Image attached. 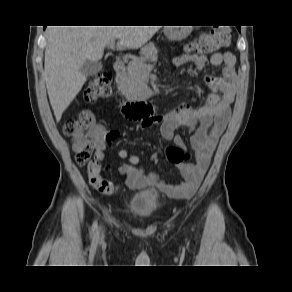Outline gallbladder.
I'll return each mask as SVG.
<instances>
[{
	"mask_svg": "<svg viewBox=\"0 0 292 292\" xmlns=\"http://www.w3.org/2000/svg\"><path fill=\"white\" fill-rule=\"evenodd\" d=\"M102 70V64L98 62H92L90 60H86L82 67H81V72L85 76H93L97 74L99 71Z\"/></svg>",
	"mask_w": 292,
	"mask_h": 292,
	"instance_id": "1",
	"label": "gallbladder"
}]
</instances>
